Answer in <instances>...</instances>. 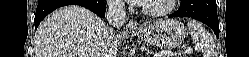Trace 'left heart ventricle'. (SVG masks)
<instances>
[{"label":"left heart ventricle","instance_id":"b2bd125f","mask_svg":"<svg viewBox=\"0 0 249 57\" xmlns=\"http://www.w3.org/2000/svg\"><path fill=\"white\" fill-rule=\"evenodd\" d=\"M145 4L153 10H159L168 4V0H148L145 2Z\"/></svg>","mask_w":249,"mask_h":57}]
</instances>
